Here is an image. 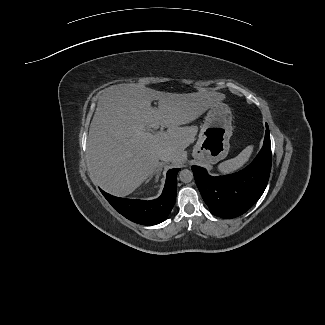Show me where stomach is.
Listing matches in <instances>:
<instances>
[{"instance_id": "1", "label": "stomach", "mask_w": 325, "mask_h": 325, "mask_svg": "<svg viewBox=\"0 0 325 325\" xmlns=\"http://www.w3.org/2000/svg\"><path fill=\"white\" fill-rule=\"evenodd\" d=\"M231 135V110L228 105L219 102L209 108L193 149V158L202 164H215L224 159L229 152Z\"/></svg>"}]
</instances>
